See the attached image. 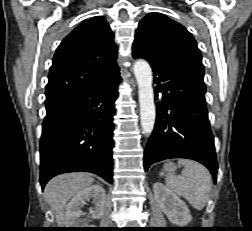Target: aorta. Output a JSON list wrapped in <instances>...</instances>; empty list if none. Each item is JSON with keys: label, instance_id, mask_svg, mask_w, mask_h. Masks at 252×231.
Here are the masks:
<instances>
[{"label": "aorta", "instance_id": "obj_1", "mask_svg": "<svg viewBox=\"0 0 252 231\" xmlns=\"http://www.w3.org/2000/svg\"><path fill=\"white\" fill-rule=\"evenodd\" d=\"M133 70L138 84L141 127L144 134L150 135L156 118L152 70L149 63L143 59L135 62Z\"/></svg>", "mask_w": 252, "mask_h": 231}]
</instances>
